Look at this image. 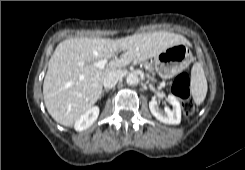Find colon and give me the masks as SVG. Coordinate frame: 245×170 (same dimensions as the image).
<instances>
[{
    "instance_id": "colon-1",
    "label": "colon",
    "mask_w": 245,
    "mask_h": 170,
    "mask_svg": "<svg viewBox=\"0 0 245 170\" xmlns=\"http://www.w3.org/2000/svg\"><path fill=\"white\" fill-rule=\"evenodd\" d=\"M172 93L182 100V112L185 117H190L194 112V105L189 100V75L186 72H181L174 79Z\"/></svg>"
}]
</instances>
